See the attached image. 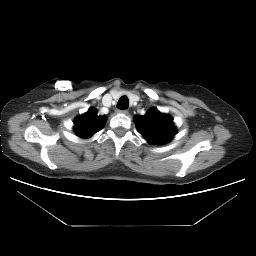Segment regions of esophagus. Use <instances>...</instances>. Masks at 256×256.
<instances>
[{
	"label": "esophagus",
	"instance_id": "34e87169",
	"mask_svg": "<svg viewBox=\"0 0 256 256\" xmlns=\"http://www.w3.org/2000/svg\"><path fill=\"white\" fill-rule=\"evenodd\" d=\"M117 113L127 115L128 111L127 110H118Z\"/></svg>",
	"mask_w": 256,
	"mask_h": 256
}]
</instances>
